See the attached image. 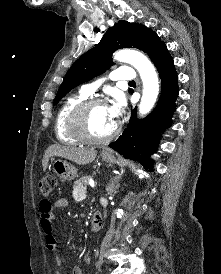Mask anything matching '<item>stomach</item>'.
I'll list each match as a JSON object with an SVG mask.
<instances>
[{"mask_svg": "<svg viewBox=\"0 0 221 274\" xmlns=\"http://www.w3.org/2000/svg\"><path fill=\"white\" fill-rule=\"evenodd\" d=\"M101 156L105 162H108V163L116 162V158L112 153L103 151ZM52 170L60 179L64 181H71L77 176L76 167L72 165L71 163L67 162L66 160H61V159L53 160Z\"/></svg>", "mask_w": 221, "mask_h": 274, "instance_id": "0dacf381", "label": "stomach"}]
</instances>
